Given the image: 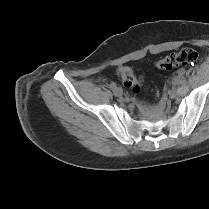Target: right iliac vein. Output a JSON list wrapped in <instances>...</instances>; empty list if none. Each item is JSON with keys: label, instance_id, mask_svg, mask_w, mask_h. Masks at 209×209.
I'll return each instance as SVG.
<instances>
[{"label": "right iliac vein", "instance_id": "right-iliac-vein-1", "mask_svg": "<svg viewBox=\"0 0 209 209\" xmlns=\"http://www.w3.org/2000/svg\"><path fill=\"white\" fill-rule=\"evenodd\" d=\"M113 93H114L115 96L120 97L123 94V90L121 88H115L113 90Z\"/></svg>", "mask_w": 209, "mask_h": 209}]
</instances>
